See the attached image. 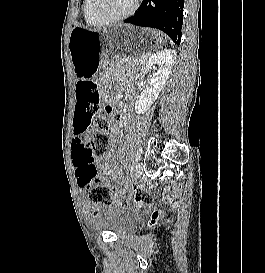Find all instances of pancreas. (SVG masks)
<instances>
[{
  "mask_svg": "<svg viewBox=\"0 0 265 273\" xmlns=\"http://www.w3.org/2000/svg\"><path fill=\"white\" fill-rule=\"evenodd\" d=\"M130 61L131 64H134V63H141L144 59H142V57H139V58H135V59H128Z\"/></svg>",
  "mask_w": 265,
  "mask_h": 273,
  "instance_id": "pancreas-1",
  "label": "pancreas"
}]
</instances>
